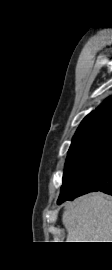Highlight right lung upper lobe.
I'll list each match as a JSON object with an SVG mask.
<instances>
[{"instance_id": "obj_1", "label": "right lung upper lobe", "mask_w": 112, "mask_h": 270, "mask_svg": "<svg viewBox=\"0 0 112 270\" xmlns=\"http://www.w3.org/2000/svg\"><path fill=\"white\" fill-rule=\"evenodd\" d=\"M105 125H112V97L105 100L101 106L83 119L74 137L96 127Z\"/></svg>"}]
</instances>
